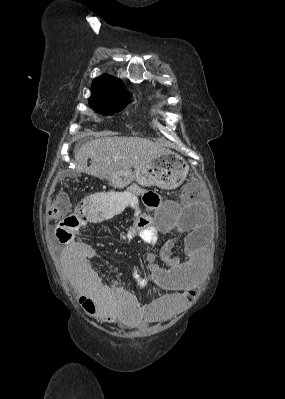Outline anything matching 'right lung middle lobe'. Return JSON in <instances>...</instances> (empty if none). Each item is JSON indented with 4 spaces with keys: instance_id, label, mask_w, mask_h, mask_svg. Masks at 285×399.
Returning <instances> with one entry per match:
<instances>
[{
    "instance_id": "dd1d6c3e",
    "label": "right lung middle lobe",
    "mask_w": 285,
    "mask_h": 399,
    "mask_svg": "<svg viewBox=\"0 0 285 399\" xmlns=\"http://www.w3.org/2000/svg\"><path fill=\"white\" fill-rule=\"evenodd\" d=\"M123 99L89 100V102L99 112L106 113V109H110L111 113H115L121 111L126 106L127 103H124Z\"/></svg>"
}]
</instances>
